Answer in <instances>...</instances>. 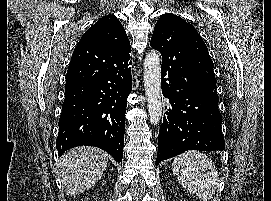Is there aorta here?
<instances>
[{"mask_svg": "<svg viewBox=\"0 0 271 201\" xmlns=\"http://www.w3.org/2000/svg\"><path fill=\"white\" fill-rule=\"evenodd\" d=\"M144 87L150 122L158 124L162 116L161 65L155 50L148 52L144 59Z\"/></svg>", "mask_w": 271, "mask_h": 201, "instance_id": "aorta-1", "label": "aorta"}]
</instances>
